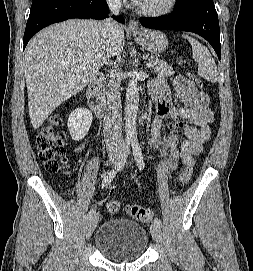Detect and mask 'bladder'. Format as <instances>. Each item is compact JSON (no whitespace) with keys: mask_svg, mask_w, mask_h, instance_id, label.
I'll return each mask as SVG.
<instances>
[{"mask_svg":"<svg viewBox=\"0 0 253 271\" xmlns=\"http://www.w3.org/2000/svg\"><path fill=\"white\" fill-rule=\"evenodd\" d=\"M148 246L143 226L124 218L104 222L95 235V247L107 259L127 262L142 257Z\"/></svg>","mask_w":253,"mask_h":271,"instance_id":"1","label":"bladder"}]
</instances>
